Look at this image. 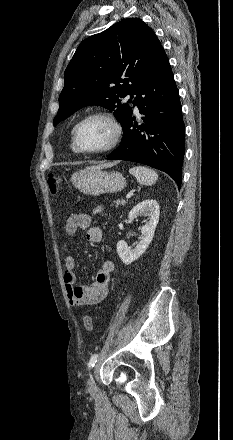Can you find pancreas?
<instances>
[{"label": "pancreas", "mask_w": 233, "mask_h": 440, "mask_svg": "<svg viewBox=\"0 0 233 440\" xmlns=\"http://www.w3.org/2000/svg\"><path fill=\"white\" fill-rule=\"evenodd\" d=\"M126 202L124 200H117L116 201V208L119 207L120 205H125Z\"/></svg>", "instance_id": "pancreas-1"}]
</instances>
